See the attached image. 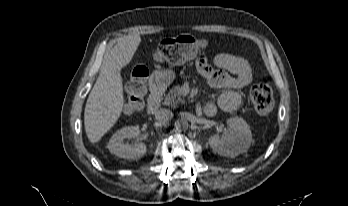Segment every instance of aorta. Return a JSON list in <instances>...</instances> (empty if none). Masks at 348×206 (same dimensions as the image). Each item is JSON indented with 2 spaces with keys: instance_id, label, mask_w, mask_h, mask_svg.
<instances>
[{
  "instance_id": "aorta-1",
  "label": "aorta",
  "mask_w": 348,
  "mask_h": 206,
  "mask_svg": "<svg viewBox=\"0 0 348 206\" xmlns=\"http://www.w3.org/2000/svg\"><path fill=\"white\" fill-rule=\"evenodd\" d=\"M175 127L178 130H186L188 128V122L185 119H178L175 122Z\"/></svg>"
}]
</instances>
